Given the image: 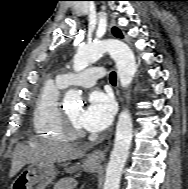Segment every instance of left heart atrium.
<instances>
[{
	"mask_svg": "<svg viewBox=\"0 0 188 189\" xmlns=\"http://www.w3.org/2000/svg\"><path fill=\"white\" fill-rule=\"evenodd\" d=\"M112 118V98L100 90H94L89 94L87 103L79 114L78 123L88 131L100 132L109 126Z\"/></svg>",
	"mask_w": 188,
	"mask_h": 189,
	"instance_id": "39dd6f15",
	"label": "left heart atrium"
}]
</instances>
